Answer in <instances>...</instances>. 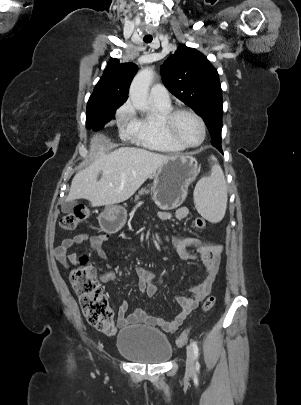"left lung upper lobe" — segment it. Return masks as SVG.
Returning <instances> with one entry per match:
<instances>
[{
	"label": "left lung upper lobe",
	"instance_id": "1",
	"mask_svg": "<svg viewBox=\"0 0 301 405\" xmlns=\"http://www.w3.org/2000/svg\"><path fill=\"white\" fill-rule=\"evenodd\" d=\"M166 88L204 120L211 138L221 142L222 90L217 70L196 49L180 45L161 66Z\"/></svg>",
	"mask_w": 301,
	"mask_h": 405
}]
</instances>
